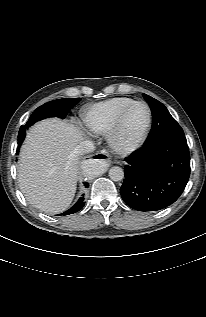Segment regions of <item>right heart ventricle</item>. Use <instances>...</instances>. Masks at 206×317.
<instances>
[{"label": "right heart ventricle", "mask_w": 206, "mask_h": 317, "mask_svg": "<svg viewBox=\"0 0 206 317\" xmlns=\"http://www.w3.org/2000/svg\"><path fill=\"white\" fill-rule=\"evenodd\" d=\"M133 101V99L127 97H115L96 103L84 113V124L94 134H107L119 112Z\"/></svg>", "instance_id": "e07e8e85"}]
</instances>
